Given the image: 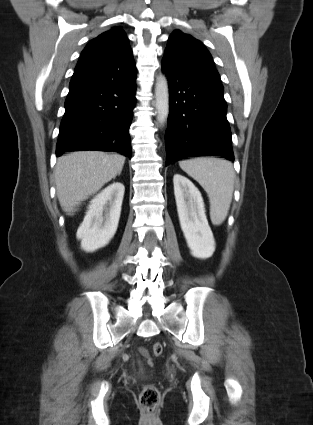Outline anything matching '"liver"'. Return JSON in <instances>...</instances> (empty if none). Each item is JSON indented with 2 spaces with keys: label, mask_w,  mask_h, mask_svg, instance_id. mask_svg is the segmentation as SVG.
<instances>
[{
  "label": "liver",
  "mask_w": 313,
  "mask_h": 425,
  "mask_svg": "<svg viewBox=\"0 0 313 425\" xmlns=\"http://www.w3.org/2000/svg\"><path fill=\"white\" fill-rule=\"evenodd\" d=\"M124 163L122 155L99 151L73 152L59 157L55 183L62 210L72 215L76 206L115 178Z\"/></svg>",
  "instance_id": "obj_1"
}]
</instances>
